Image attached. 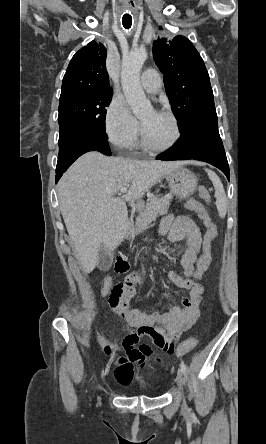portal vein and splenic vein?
<instances>
[{"instance_id": "1", "label": "portal vein and splenic vein", "mask_w": 266, "mask_h": 444, "mask_svg": "<svg viewBox=\"0 0 266 444\" xmlns=\"http://www.w3.org/2000/svg\"><path fill=\"white\" fill-rule=\"evenodd\" d=\"M128 191V188L127 187H124V188H122V189H120V193H119V195H121V194H124V193H126ZM152 212V211H151ZM150 212V213H151Z\"/></svg>"}]
</instances>
